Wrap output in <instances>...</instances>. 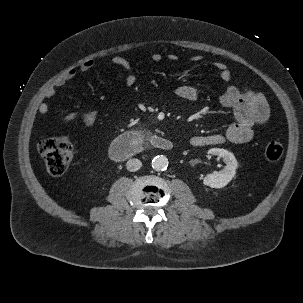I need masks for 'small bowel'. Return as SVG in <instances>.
Segmentation results:
<instances>
[{"mask_svg":"<svg viewBox=\"0 0 303 303\" xmlns=\"http://www.w3.org/2000/svg\"><path fill=\"white\" fill-rule=\"evenodd\" d=\"M150 58L155 63L163 60V56L160 53H153ZM167 59L175 62L178 57L175 54H170L167 56ZM201 60L202 57L200 55L192 57L193 62H200ZM112 62L126 71L127 75L124 80V86L126 88L135 86L137 79L131 62L121 56H115L112 58ZM93 67L94 61L87 60L80 65L79 69L82 72H88ZM215 67L219 72L221 80L227 83L220 96V102L225 107L233 110L235 120L222 133L191 138L190 145L193 147H205L224 143H246L253 137L255 127L265 124L269 119V106L262 94L249 88L239 87L230 83L232 74L224 62H216ZM76 75L77 71L75 69H70L64 73L55 81L53 86L46 90L45 96L47 98L53 97L56 88L62 87ZM175 93L178 97L188 101H193L198 97L197 88L189 84L178 86L175 89ZM48 110L49 106L47 103L43 102L38 106V112L42 115L47 114ZM78 116L77 113H69L62 118V122L68 123L74 121Z\"/></svg>","mask_w":303,"mask_h":303,"instance_id":"c3829d8e","label":"small bowel"}]
</instances>
